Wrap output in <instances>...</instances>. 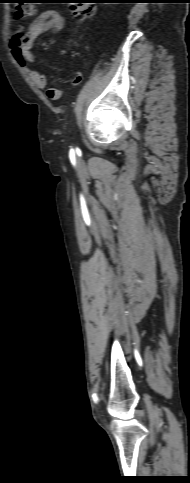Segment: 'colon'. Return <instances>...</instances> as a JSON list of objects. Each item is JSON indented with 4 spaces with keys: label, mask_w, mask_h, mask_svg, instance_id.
I'll use <instances>...</instances> for the list:
<instances>
[{
    "label": "colon",
    "mask_w": 190,
    "mask_h": 483,
    "mask_svg": "<svg viewBox=\"0 0 190 483\" xmlns=\"http://www.w3.org/2000/svg\"><path fill=\"white\" fill-rule=\"evenodd\" d=\"M35 3V0H16L12 13L19 19L29 18L35 13ZM71 3L73 15L80 21L90 18L95 12L94 6L85 0H73Z\"/></svg>",
    "instance_id": "1"
}]
</instances>
